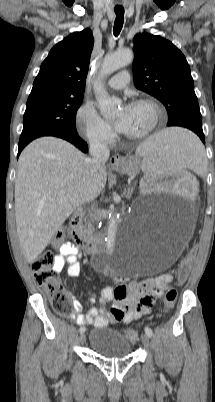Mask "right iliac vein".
Listing matches in <instances>:
<instances>
[{"label":"right iliac vein","mask_w":215,"mask_h":402,"mask_svg":"<svg viewBox=\"0 0 215 402\" xmlns=\"http://www.w3.org/2000/svg\"><path fill=\"white\" fill-rule=\"evenodd\" d=\"M85 342V334L81 333V335L79 336V343L83 344Z\"/></svg>","instance_id":"1"}]
</instances>
